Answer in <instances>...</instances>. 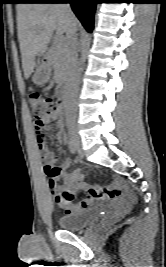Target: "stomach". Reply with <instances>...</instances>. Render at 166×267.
Wrapping results in <instances>:
<instances>
[{
	"mask_svg": "<svg viewBox=\"0 0 166 267\" xmlns=\"http://www.w3.org/2000/svg\"><path fill=\"white\" fill-rule=\"evenodd\" d=\"M51 71L48 65L37 67L32 76V81L36 85H44L50 79Z\"/></svg>",
	"mask_w": 166,
	"mask_h": 267,
	"instance_id": "1",
	"label": "stomach"
}]
</instances>
